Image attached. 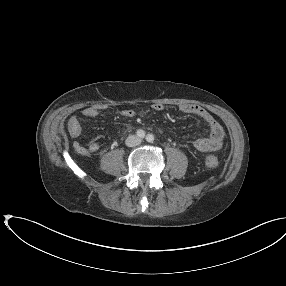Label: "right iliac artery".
Listing matches in <instances>:
<instances>
[{"label": "right iliac artery", "mask_w": 286, "mask_h": 286, "mask_svg": "<svg viewBox=\"0 0 286 286\" xmlns=\"http://www.w3.org/2000/svg\"><path fill=\"white\" fill-rule=\"evenodd\" d=\"M136 135L138 138L143 139L145 137V131L139 129V130H137Z\"/></svg>", "instance_id": "obj_1"}]
</instances>
